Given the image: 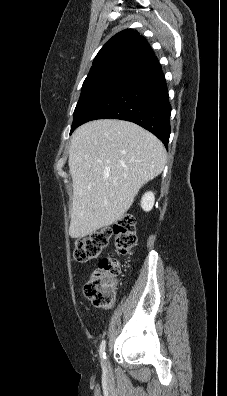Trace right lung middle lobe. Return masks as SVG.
Returning <instances> with one entry per match:
<instances>
[{
  "label": "right lung middle lobe",
  "instance_id": "dd1d6c3e",
  "mask_svg": "<svg viewBox=\"0 0 227 396\" xmlns=\"http://www.w3.org/2000/svg\"><path fill=\"white\" fill-rule=\"evenodd\" d=\"M133 71L124 68H111L88 74L74 111L70 134L78 127L86 114L103 98L111 93Z\"/></svg>",
  "mask_w": 227,
  "mask_h": 396
}]
</instances>
